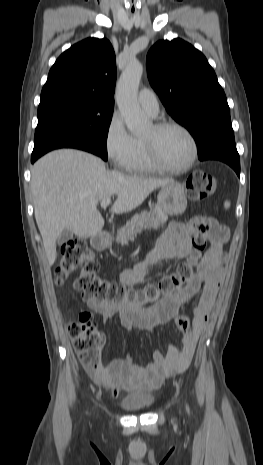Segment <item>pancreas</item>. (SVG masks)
I'll use <instances>...</instances> for the list:
<instances>
[{"instance_id": "obj_1", "label": "pancreas", "mask_w": 263, "mask_h": 465, "mask_svg": "<svg viewBox=\"0 0 263 465\" xmlns=\"http://www.w3.org/2000/svg\"><path fill=\"white\" fill-rule=\"evenodd\" d=\"M168 217L161 210L143 211L129 220L125 226L117 231L116 241L127 245L138 233L144 229H159L164 226Z\"/></svg>"}]
</instances>
